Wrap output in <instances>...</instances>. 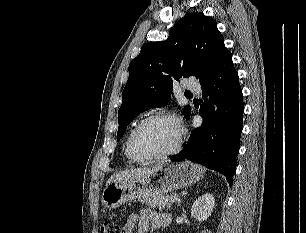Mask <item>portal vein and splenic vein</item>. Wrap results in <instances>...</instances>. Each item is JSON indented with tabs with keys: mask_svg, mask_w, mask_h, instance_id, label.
I'll list each match as a JSON object with an SVG mask.
<instances>
[{
	"mask_svg": "<svg viewBox=\"0 0 306 233\" xmlns=\"http://www.w3.org/2000/svg\"><path fill=\"white\" fill-rule=\"evenodd\" d=\"M180 201V198L176 197L173 199V202H179Z\"/></svg>",
	"mask_w": 306,
	"mask_h": 233,
	"instance_id": "1",
	"label": "portal vein and splenic vein"
}]
</instances>
